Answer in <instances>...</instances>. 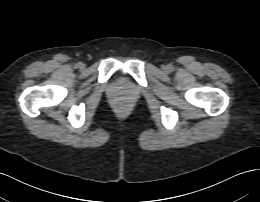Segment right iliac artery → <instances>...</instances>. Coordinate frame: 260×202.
I'll use <instances>...</instances> for the list:
<instances>
[{"label":"right iliac artery","instance_id":"1","mask_svg":"<svg viewBox=\"0 0 260 202\" xmlns=\"http://www.w3.org/2000/svg\"><path fill=\"white\" fill-rule=\"evenodd\" d=\"M79 65H80V63H77V64H76V67H79Z\"/></svg>","mask_w":260,"mask_h":202}]
</instances>
